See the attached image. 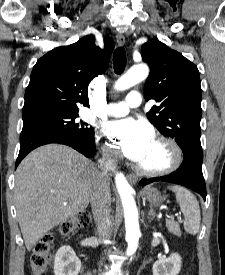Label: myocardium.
<instances>
[{"label":"myocardium","instance_id":"f54148a6","mask_svg":"<svg viewBox=\"0 0 225 275\" xmlns=\"http://www.w3.org/2000/svg\"><path fill=\"white\" fill-rule=\"evenodd\" d=\"M156 141L163 143L169 151V162L166 166L160 169H146L139 164L136 165L135 169L138 174L146 177H160L170 174L177 170L182 163V150L180 146L173 139L164 136L156 135L154 137Z\"/></svg>","mask_w":225,"mask_h":275}]
</instances>
